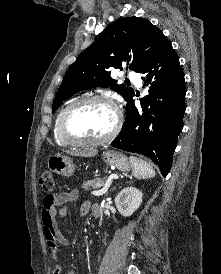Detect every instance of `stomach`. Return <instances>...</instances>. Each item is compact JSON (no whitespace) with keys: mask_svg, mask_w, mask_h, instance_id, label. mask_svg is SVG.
<instances>
[{"mask_svg":"<svg viewBox=\"0 0 221 274\" xmlns=\"http://www.w3.org/2000/svg\"><path fill=\"white\" fill-rule=\"evenodd\" d=\"M103 161L109 165L114 166L121 171H129L131 168V163L128 161L127 157L119 152L113 150H106L103 152ZM48 168L59 175L64 177H70L74 174V164L69 156H63L60 154H55L50 156L48 159Z\"/></svg>","mask_w":221,"mask_h":274,"instance_id":"1","label":"stomach"}]
</instances>
